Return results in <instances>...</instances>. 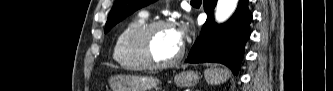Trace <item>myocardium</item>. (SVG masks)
<instances>
[{
    "label": "myocardium",
    "mask_w": 333,
    "mask_h": 91,
    "mask_svg": "<svg viewBox=\"0 0 333 91\" xmlns=\"http://www.w3.org/2000/svg\"><path fill=\"white\" fill-rule=\"evenodd\" d=\"M160 28H173V24L165 20L147 22L140 26L131 36L130 46L133 56L145 68L163 69L177 64L184 55V46L181 45L179 52L169 61H155L150 54V39L152 34Z\"/></svg>",
    "instance_id": "myocardium-1"
}]
</instances>
